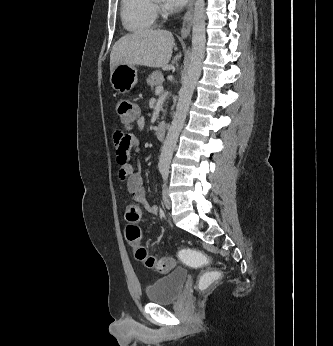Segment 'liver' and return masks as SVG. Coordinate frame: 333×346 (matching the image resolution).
<instances>
[{"mask_svg": "<svg viewBox=\"0 0 333 346\" xmlns=\"http://www.w3.org/2000/svg\"><path fill=\"white\" fill-rule=\"evenodd\" d=\"M174 37L165 30H142L121 37L110 54V71L120 65H141L151 68L170 69ZM181 54L174 57L172 64Z\"/></svg>", "mask_w": 333, "mask_h": 346, "instance_id": "liver-1", "label": "liver"}]
</instances>
